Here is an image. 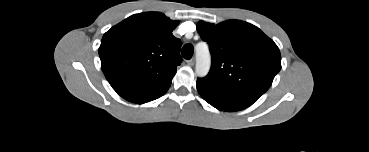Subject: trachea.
Returning <instances> with one entry per match:
<instances>
[{
    "mask_svg": "<svg viewBox=\"0 0 369 152\" xmlns=\"http://www.w3.org/2000/svg\"><path fill=\"white\" fill-rule=\"evenodd\" d=\"M182 56L189 60L193 56V46L191 44H186L182 48Z\"/></svg>",
    "mask_w": 369,
    "mask_h": 152,
    "instance_id": "3493384b",
    "label": "trachea"
}]
</instances>
